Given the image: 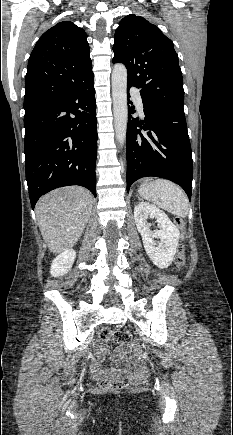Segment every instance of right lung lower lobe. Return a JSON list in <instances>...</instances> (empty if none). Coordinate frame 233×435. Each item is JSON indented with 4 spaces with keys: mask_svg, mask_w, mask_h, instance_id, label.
I'll list each match as a JSON object with an SVG mask.
<instances>
[{
    "mask_svg": "<svg viewBox=\"0 0 233 435\" xmlns=\"http://www.w3.org/2000/svg\"><path fill=\"white\" fill-rule=\"evenodd\" d=\"M93 73L24 116L25 171L32 208L47 192L80 185L96 197L97 118Z\"/></svg>",
    "mask_w": 233,
    "mask_h": 435,
    "instance_id": "98d812e1",
    "label": "right lung lower lobe"
}]
</instances>
